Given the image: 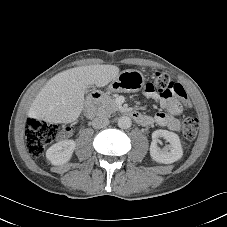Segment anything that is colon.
Masks as SVG:
<instances>
[{
	"mask_svg": "<svg viewBox=\"0 0 227 227\" xmlns=\"http://www.w3.org/2000/svg\"><path fill=\"white\" fill-rule=\"evenodd\" d=\"M145 92L156 93L161 96L176 94L186 107L191 103L185 89L178 83H173L165 72H155L152 81L145 87ZM199 122L188 116L183 120V134L186 139L193 140L197 136ZM61 132L57 124L47 123L37 118H29L25 128L26 147L33 158L40 157L47 144L52 142Z\"/></svg>",
	"mask_w": 227,
	"mask_h": 227,
	"instance_id": "colon-1",
	"label": "colon"
}]
</instances>
